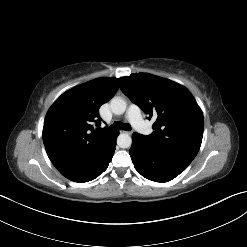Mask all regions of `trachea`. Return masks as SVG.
Returning <instances> with one entry per match:
<instances>
[{
  "instance_id": "1",
  "label": "trachea",
  "mask_w": 247,
  "mask_h": 247,
  "mask_svg": "<svg viewBox=\"0 0 247 247\" xmlns=\"http://www.w3.org/2000/svg\"><path fill=\"white\" fill-rule=\"evenodd\" d=\"M111 130H126V131H130L131 130V126L127 123H122V122H115L113 123L110 128Z\"/></svg>"
}]
</instances>
